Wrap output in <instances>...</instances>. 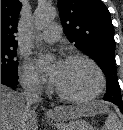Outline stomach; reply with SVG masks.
I'll use <instances>...</instances> for the list:
<instances>
[{
    "label": "stomach",
    "instance_id": "0dacf381",
    "mask_svg": "<svg viewBox=\"0 0 123 130\" xmlns=\"http://www.w3.org/2000/svg\"><path fill=\"white\" fill-rule=\"evenodd\" d=\"M54 125L58 130H94L91 124L82 119H75L67 123L55 119Z\"/></svg>",
    "mask_w": 123,
    "mask_h": 130
}]
</instances>
